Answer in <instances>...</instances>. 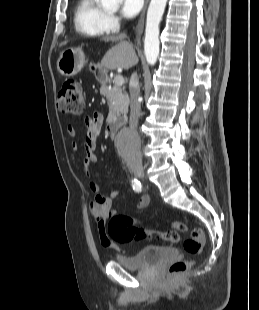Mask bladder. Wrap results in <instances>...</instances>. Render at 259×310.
Wrapping results in <instances>:
<instances>
[{
	"mask_svg": "<svg viewBox=\"0 0 259 310\" xmlns=\"http://www.w3.org/2000/svg\"><path fill=\"white\" fill-rule=\"evenodd\" d=\"M176 255L177 251L172 247L150 245L143 247L134 255L119 256L116 261L126 269L139 270L153 267Z\"/></svg>",
	"mask_w": 259,
	"mask_h": 310,
	"instance_id": "bladder-1",
	"label": "bladder"
}]
</instances>
